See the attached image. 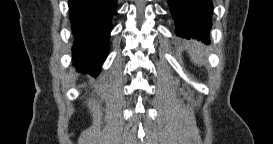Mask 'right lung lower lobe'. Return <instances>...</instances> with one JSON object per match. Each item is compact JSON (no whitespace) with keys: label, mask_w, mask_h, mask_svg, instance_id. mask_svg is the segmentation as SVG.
<instances>
[{"label":"right lung lower lobe","mask_w":273,"mask_h":144,"mask_svg":"<svg viewBox=\"0 0 273 144\" xmlns=\"http://www.w3.org/2000/svg\"><path fill=\"white\" fill-rule=\"evenodd\" d=\"M74 34L72 56L82 72L97 75L108 53L111 20L117 0H69Z\"/></svg>","instance_id":"obj_1"}]
</instances>
